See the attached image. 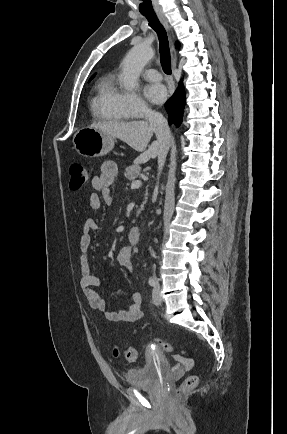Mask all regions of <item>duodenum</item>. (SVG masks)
Returning <instances> with one entry per match:
<instances>
[{
  "label": "duodenum",
  "instance_id": "duodenum-1",
  "mask_svg": "<svg viewBox=\"0 0 287 434\" xmlns=\"http://www.w3.org/2000/svg\"><path fill=\"white\" fill-rule=\"evenodd\" d=\"M140 229L138 227L130 228L128 232V240L132 244H137L140 241Z\"/></svg>",
  "mask_w": 287,
  "mask_h": 434
}]
</instances>
